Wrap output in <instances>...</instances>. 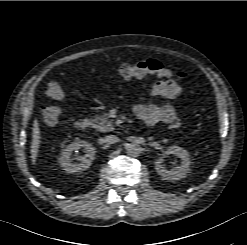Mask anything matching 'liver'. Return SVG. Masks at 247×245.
Masks as SVG:
<instances>
[{"instance_id": "liver-1", "label": "liver", "mask_w": 247, "mask_h": 245, "mask_svg": "<svg viewBox=\"0 0 247 245\" xmlns=\"http://www.w3.org/2000/svg\"><path fill=\"white\" fill-rule=\"evenodd\" d=\"M40 129L38 122L35 120L33 124V130H32V142H31V161L32 164L36 162L37 155L39 152V146H40Z\"/></svg>"}]
</instances>
